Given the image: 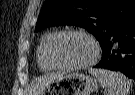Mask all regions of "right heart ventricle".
Wrapping results in <instances>:
<instances>
[{"instance_id": "1", "label": "right heart ventricle", "mask_w": 135, "mask_h": 95, "mask_svg": "<svg viewBox=\"0 0 135 95\" xmlns=\"http://www.w3.org/2000/svg\"><path fill=\"white\" fill-rule=\"evenodd\" d=\"M55 34L56 32L47 33L40 41L39 46L37 48V62H38L39 68L44 72H49L53 69H56L49 64L46 58V49H47L48 43Z\"/></svg>"}]
</instances>
